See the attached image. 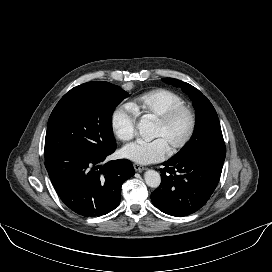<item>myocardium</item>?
<instances>
[{"label": "myocardium", "mask_w": 272, "mask_h": 272, "mask_svg": "<svg viewBox=\"0 0 272 272\" xmlns=\"http://www.w3.org/2000/svg\"><path fill=\"white\" fill-rule=\"evenodd\" d=\"M181 114L187 115L189 119V129L181 141L168 149L170 154H174L183 149L193 138L197 127L196 114L190 107L186 105H180L170 108L165 113L155 119V122L160 124L161 126H167Z\"/></svg>", "instance_id": "obj_1"}]
</instances>
